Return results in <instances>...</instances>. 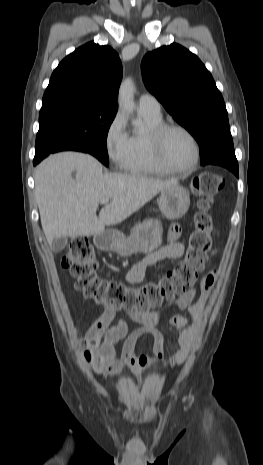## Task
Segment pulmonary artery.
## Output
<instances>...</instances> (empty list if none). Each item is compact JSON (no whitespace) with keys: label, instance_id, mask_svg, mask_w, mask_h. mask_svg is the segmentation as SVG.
Returning <instances> with one entry per match:
<instances>
[{"label":"pulmonary artery","instance_id":"pulmonary-artery-1","mask_svg":"<svg viewBox=\"0 0 263 465\" xmlns=\"http://www.w3.org/2000/svg\"><path fill=\"white\" fill-rule=\"evenodd\" d=\"M138 111L154 117L161 116V105L151 94H142L138 99Z\"/></svg>","mask_w":263,"mask_h":465}]
</instances>
